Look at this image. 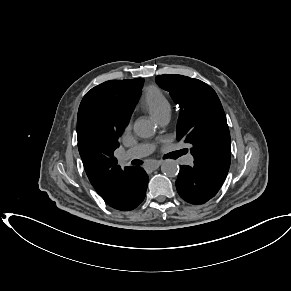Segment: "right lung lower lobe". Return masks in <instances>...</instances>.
<instances>
[{
	"instance_id": "98d812e1",
	"label": "right lung lower lobe",
	"mask_w": 291,
	"mask_h": 291,
	"mask_svg": "<svg viewBox=\"0 0 291 291\" xmlns=\"http://www.w3.org/2000/svg\"><path fill=\"white\" fill-rule=\"evenodd\" d=\"M123 195L113 202L107 203L119 211H130L138 207L145 198L148 175L141 167H126L123 175Z\"/></svg>"
}]
</instances>
